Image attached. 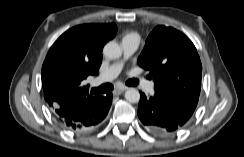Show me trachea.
Returning a JSON list of instances; mask_svg holds the SVG:
<instances>
[{"label":"trachea","mask_w":244,"mask_h":157,"mask_svg":"<svg viewBox=\"0 0 244 157\" xmlns=\"http://www.w3.org/2000/svg\"><path fill=\"white\" fill-rule=\"evenodd\" d=\"M138 83H139V81L137 79H132V80H129V81L126 82V84L129 85V86H136ZM112 90H113V86L111 84H109V83H105V84L101 85L98 88H92L91 89V93L92 94H96V93H99V92L109 93Z\"/></svg>","instance_id":"3493384b"}]
</instances>
